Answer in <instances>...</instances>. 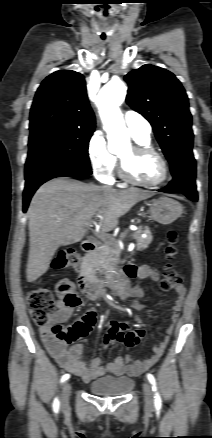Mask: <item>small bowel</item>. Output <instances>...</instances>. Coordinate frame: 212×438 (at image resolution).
Listing matches in <instances>:
<instances>
[{"label": "small bowel", "mask_w": 212, "mask_h": 438, "mask_svg": "<svg viewBox=\"0 0 212 438\" xmlns=\"http://www.w3.org/2000/svg\"><path fill=\"white\" fill-rule=\"evenodd\" d=\"M133 277L157 281L159 279V273L157 270L147 265H127L124 268L122 277L120 279V288L118 290L121 300H128L130 298L141 299L145 297L146 291L143 287H141L139 284L131 287L128 284L127 279ZM62 287L73 286L68 279H62L57 284V292H59ZM175 294L176 299L172 306L171 324L166 331L168 336H166L165 339L154 348V355L145 361H137L131 357L123 358L122 356H117L112 362L103 364L101 359L96 357L89 365H87L81 360L83 351V346L81 344L70 345V343L58 340L52 333L49 326L40 327L39 332L50 353L57 360L59 365L66 371L80 377L84 382H90L91 380L105 374H113L116 376H137L144 373L147 369L154 365L167 347L169 335L173 332L174 323L177 321L183 305L186 294L185 287L181 284L177 286L175 289ZM81 306L82 302L80 299L78 303L74 305L66 304L61 299L58 302L57 310L53 317V322L63 323L68 321L72 316L74 309ZM137 306L140 308L146 307L140 303H137ZM96 319V311L89 308L78 321L83 322L88 327L89 332L94 327ZM144 336L145 330L143 328L130 331L128 330L126 323L110 321L106 326L103 345L104 347H107L109 345L121 343L125 347L131 348L137 345Z\"/></svg>", "instance_id": "small-bowel-1"}]
</instances>
